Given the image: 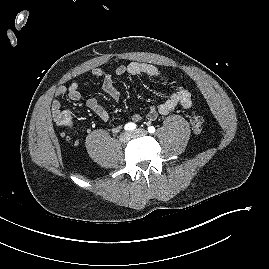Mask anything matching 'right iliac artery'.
Segmentation results:
<instances>
[{"label": "right iliac artery", "instance_id": "82829eb1", "mask_svg": "<svg viewBox=\"0 0 269 269\" xmlns=\"http://www.w3.org/2000/svg\"><path fill=\"white\" fill-rule=\"evenodd\" d=\"M136 128V124L135 123H127L124 127L125 130H128V131H131V130H134Z\"/></svg>", "mask_w": 269, "mask_h": 269}]
</instances>
